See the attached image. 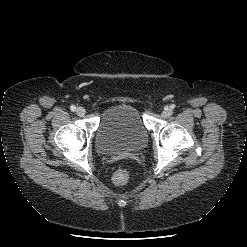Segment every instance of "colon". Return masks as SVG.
I'll return each instance as SVG.
<instances>
[{
  "instance_id": "1",
  "label": "colon",
  "mask_w": 247,
  "mask_h": 247,
  "mask_svg": "<svg viewBox=\"0 0 247 247\" xmlns=\"http://www.w3.org/2000/svg\"><path fill=\"white\" fill-rule=\"evenodd\" d=\"M129 173L125 168H118L112 176L113 183L117 186L125 185L128 182Z\"/></svg>"
}]
</instances>
